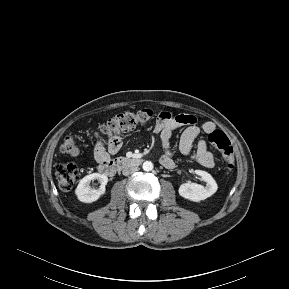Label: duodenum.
I'll return each mask as SVG.
<instances>
[{
	"label": "duodenum",
	"mask_w": 289,
	"mask_h": 289,
	"mask_svg": "<svg viewBox=\"0 0 289 289\" xmlns=\"http://www.w3.org/2000/svg\"><path fill=\"white\" fill-rule=\"evenodd\" d=\"M140 157H120L113 160H105L99 163V171L106 176H113L118 171L126 168L137 167L143 163Z\"/></svg>",
	"instance_id": "obj_1"
}]
</instances>
